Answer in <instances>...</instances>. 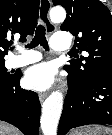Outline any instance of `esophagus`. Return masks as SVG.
<instances>
[{"label": "esophagus", "instance_id": "34e87169", "mask_svg": "<svg viewBox=\"0 0 112 135\" xmlns=\"http://www.w3.org/2000/svg\"><path fill=\"white\" fill-rule=\"evenodd\" d=\"M46 2V7L42 8V2ZM51 8V2L50 0H41L40 1V10H39V16L43 24H45L47 31L52 32L55 30V25L50 21L49 19V10ZM47 94L46 93H41L39 94V100L41 103L44 102Z\"/></svg>", "mask_w": 112, "mask_h": 135}]
</instances>
